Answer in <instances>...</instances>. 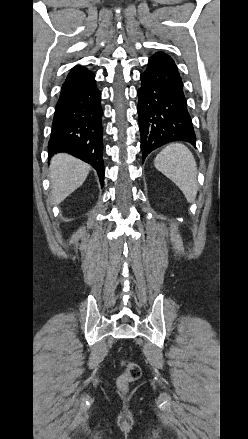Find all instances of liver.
Wrapping results in <instances>:
<instances>
[{"mask_svg":"<svg viewBox=\"0 0 248 439\" xmlns=\"http://www.w3.org/2000/svg\"><path fill=\"white\" fill-rule=\"evenodd\" d=\"M91 166L66 153L51 159L49 178L51 180V200L53 205L61 203L85 181Z\"/></svg>","mask_w":248,"mask_h":439,"instance_id":"liver-1","label":"liver"}]
</instances>
